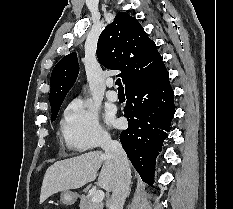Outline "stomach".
<instances>
[{
	"instance_id": "stomach-1",
	"label": "stomach",
	"mask_w": 233,
	"mask_h": 209,
	"mask_svg": "<svg viewBox=\"0 0 233 209\" xmlns=\"http://www.w3.org/2000/svg\"><path fill=\"white\" fill-rule=\"evenodd\" d=\"M78 198V194L72 191H63L60 194V202L66 206L73 205Z\"/></svg>"
}]
</instances>
